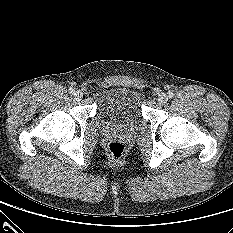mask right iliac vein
<instances>
[{
	"instance_id": "63e3f726",
	"label": "right iliac vein",
	"mask_w": 233,
	"mask_h": 233,
	"mask_svg": "<svg viewBox=\"0 0 233 233\" xmlns=\"http://www.w3.org/2000/svg\"><path fill=\"white\" fill-rule=\"evenodd\" d=\"M74 97L77 99V100H81L82 97H83V93L81 91H75L74 92Z\"/></svg>"
}]
</instances>
